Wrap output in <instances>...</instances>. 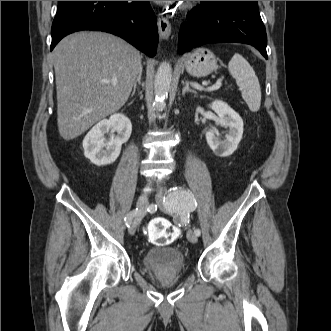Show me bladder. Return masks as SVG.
Returning <instances> with one entry per match:
<instances>
[{
	"label": "bladder",
	"mask_w": 331,
	"mask_h": 331,
	"mask_svg": "<svg viewBox=\"0 0 331 331\" xmlns=\"http://www.w3.org/2000/svg\"><path fill=\"white\" fill-rule=\"evenodd\" d=\"M143 265L153 274L178 272L185 267V257L175 247H158L143 255Z\"/></svg>",
	"instance_id": "31cf9c89"
}]
</instances>
